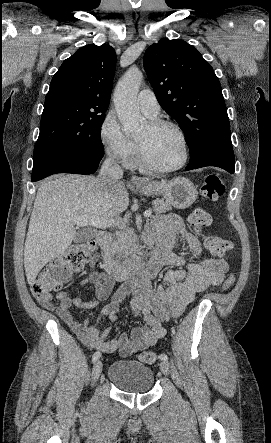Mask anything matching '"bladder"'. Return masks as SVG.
Returning a JSON list of instances; mask_svg holds the SVG:
<instances>
[{
  "label": "bladder",
  "mask_w": 271,
  "mask_h": 443,
  "mask_svg": "<svg viewBox=\"0 0 271 443\" xmlns=\"http://www.w3.org/2000/svg\"><path fill=\"white\" fill-rule=\"evenodd\" d=\"M108 378L117 388L127 393H147L154 386L152 369L131 359L113 362L108 369Z\"/></svg>",
  "instance_id": "obj_1"
}]
</instances>
